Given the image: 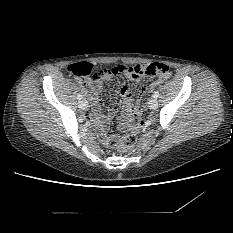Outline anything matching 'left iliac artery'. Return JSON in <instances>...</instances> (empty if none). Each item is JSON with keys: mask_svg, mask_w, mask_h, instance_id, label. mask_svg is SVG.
<instances>
[{"mask_svg": "<svg viewBox=\"0 0 233 233\" xmlns=\"http://www.w3.org/2000/svg\"><path fill=\"white\" fill-rule=\"evenodd\" d=\"M158 96H159V92H158V91H155L154 94H153V97H154V98H158Z\"/></svg>", "mask_w": 233, "mask_h": 233, "instance_id": "44dca946", "label": "left iliac artery"}]
</instances>
